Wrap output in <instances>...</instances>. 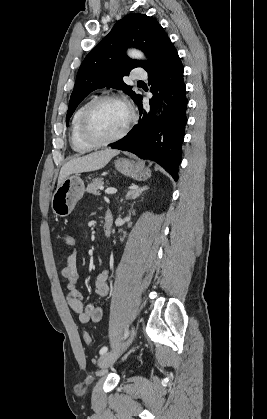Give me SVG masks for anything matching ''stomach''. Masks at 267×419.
Returning a JSON list of instances; mask_svg holds the SVG:
<instances>
[{"label":"stomach","mask_w":267,"mask_h":419,"mask_svg":"<svg viewBox=\"0 0 267 419\" xmlns=\"http://www.w3.org/2000/svg\"><path fill=\"white\" fill-rule=\"evenodd\" d=\"M115 168L125 176L135 180H146L151 176V172L141 161L120 158L115 161ZM85 192V185L79 175L73 174L67 176L55 190L51 208L58 217L68 216L77 202L82 198Z\"/></svg>","instance_id":"1"}]
</instances>
